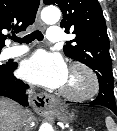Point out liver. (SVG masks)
I'll use <instances>...</instances> for the list:
<instances>
[{"label": "liver", "instance_id": "obj_1", "mask_svg": "<svg viewBox=\"0 0 117 131\" xmlns=\"http://www.w3.org/2000/svg\"><path fill=\"white\" fill-rule=\"evenodd\" d=\"M22 120V107L12 100L0 98V131H16Z\"/></svg>", "mask_w": 117, "mask_h": 131}]
</instances>
